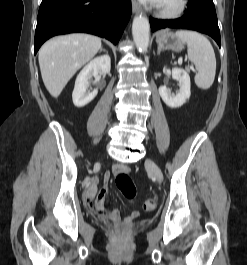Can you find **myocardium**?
<instances>
[{
  "label": "myocardium",
  "instance_id": "myocardium-1",
  "mask_svg": "<svg viewBox=\"0 0 247 265\" xmlns=\"http://www.w3.org/2000/svg\"><path fill=\"white\" fill-rule=\"evenodd\" d=\"M189 7V0H175L172 4L159 2L156 9L163 19H176L184 15Z\"/></svg>",
  "mask_w": 247,
  "mask_h": 265
}]
</instances>
